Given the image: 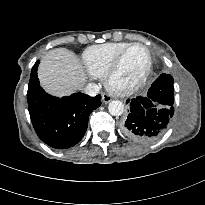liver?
Returning <instances> with one entry per match:
<instances>
[{
  "label": "liver",
  "instance_id": "liver-1",
  "mask_svg": "<svg viewBox=\"0 0 205 205\" xmlns=\"http://www.w3.org/2000/svg\"><path fill=\"white\" fill-rule=\"evenodd\" d=\"M38 78L46 92L61 97L80 90L86 77L78 57L73 52L56 48L42 58Z\"/></svg>",
  "mask_w": 205,
  "mask_h": 205
}]
</instances>
